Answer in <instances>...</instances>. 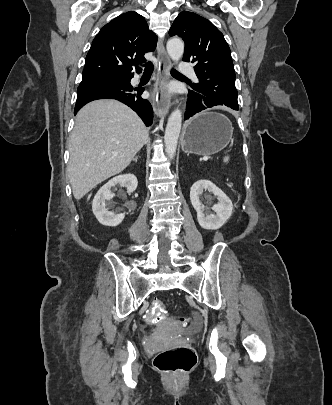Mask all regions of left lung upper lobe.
I'll list each match as a JSON object with an SVG mask.
<instances>
[{"label": "left lung upper lobe", "instance_id": "left-lung-upper-lobe-1", "mask_svg": "<svg viewBox=\"0 0 332 405\" xmlns=\"http://www.w3.org/2000/svg\"><path fill=\"white\" fill-rule=\"evenodd\" d=\"M169 35L183 38V60L195 65L199 83L189 91L202 98L206 108L222 105L238 110L235 70L223 34L209 20L183 11L175 19Z\"/></svg>", "mask_w": 332, "mask_h": 405}]
</instances>
